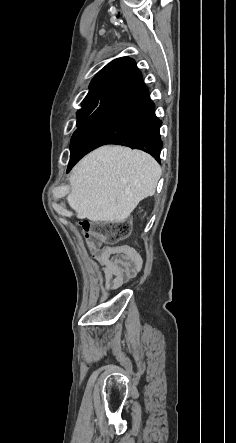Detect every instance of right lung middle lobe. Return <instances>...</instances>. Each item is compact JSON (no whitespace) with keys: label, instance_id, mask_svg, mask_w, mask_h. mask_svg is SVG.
Wrapping results in <instances>:
<instances>
[{"label":"right lung middle lobe","instance_id":"right-lung-middle-lobe-1","mask_svg":"<svg viewBox=\"0 0 236 443\" xmlns=\"http://www.w3.org/2000/svg\"><path fill=\"white\" fill-rule=\"evenodd\" d=\"M107 98H99L82 103V109L77 112V130L74 132L71 142L79 129L89 120L91 115Z\"/></svg>","mask_w":236,"mask_h":443}]
</instances>
